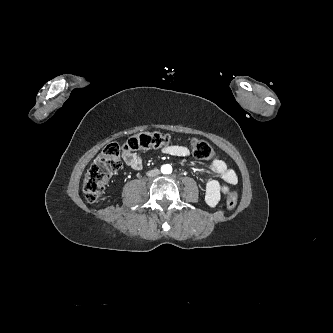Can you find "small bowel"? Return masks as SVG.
<instances>
[{"mask_svg":"<svg viewBox=\"0 0 333 333\" xmlns=\"http://www.w3.org/2000/svg\"><path fill=\"white\" fill-rule=\"evenodd\" d=\"M162 152L174 157H188L189 149L181 145H167ZM125 164L133 170H140L143 167L142 158L134 152H125L123 154ZM209 169L211 173L220 177L223 184L215 179H211L206 183L205 202L210 207H216L222 195H226L229 186L237 184L238 177L236 172L229 168L221 159H215L210 163Z\"/></svg>","mask_w":333,"mask_h":333,"instance_id":"c3829d8e","label":"small bowel"}]
</instances>
